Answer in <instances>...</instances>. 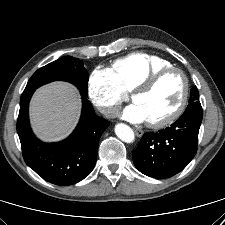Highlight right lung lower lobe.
Listing matches in <instances>:
<instances>
[{"instance_id":"obj_1","label":"right lung lower lobe","mask_w":225,"mask_h":225,"mask_svg":"<svg viewBox=\"0 0 225 225\" xmlns=\"http://www.w3.org/2000/svg\"><path fill=\"white\" fill-rule=\"evenodd\" d=\"M33 92L22 93L17 120L26 164L55 185L68 186L83 180L95 166L99 139L110 123L95 115L91 103L83 96L81 119L73 134L60 143H43L34 136L29 125L28 105Z\"/></svg>"}]
</instances>
